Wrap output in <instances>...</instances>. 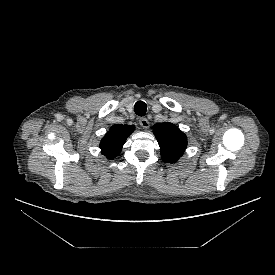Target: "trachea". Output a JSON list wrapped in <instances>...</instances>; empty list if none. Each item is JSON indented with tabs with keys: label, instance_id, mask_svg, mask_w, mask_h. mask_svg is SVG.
I'll return each mask as SVG.
<instances>
[{
	"label": "trachea",
	"instance_id": "obj_1",
	"mask_svg": "<svg viewBox=\"0 0 275 275\" xmlns=\"http://www.w3.org/2000/svg\"><path fill=\"white\" fill-rule=\"evenodd\" d=\"M147 105L143 101H137L134 105V111L138 116H144L146 114Z\"/></svg>",
	"mask_w": 275,
	"mask_h": 275
}]
</instances>
